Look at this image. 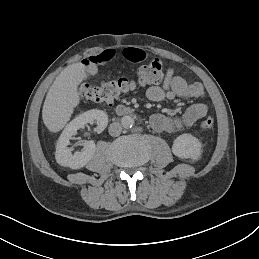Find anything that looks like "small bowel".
<instances>
[{"label": "small bowel", "mask_w": 259, "mask_h": 259, "mask_svg": "<svg viewBox=\"0 0 259 259\" xmlns=\"http://www.w3.org/2000/svg\"><path fill=\"white\" fill-rule=\"evenodd\" d=\"M146 58V52L136 48H124L121 51L108 49L83 60V64L88 72L94 75L98 72L99 66L110 62L120 59L141 62ZM147 96L152 101L174 100L176 98L200 99L205 96V90L200 83H188L182 77L175 75L172 68H169L162 84L150 87L147 90ZM207 111L208 107L204 103H195L179 116L155 113L150 117V125L157 132L173 134L192 126L198 119L204 117Z\"/></svg>", "instance_id": "small-bowel-1"}]
</instances>
